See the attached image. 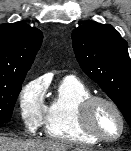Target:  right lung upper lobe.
Instances as JSON below:
<instances>
[{"label": "right lung upper lobe", "instance_id": "cb5924a9", "mask_svg": "<svg viewBox=\"0 0 131 151\" xmlns=\"http://www.w3.org/2000/svg\"><path fill=\"white\" fill-rule=\"evenodd\" d=\"M42 39L39 29L24 22L0 25V78H25Z\"/></svg>", "mask_w": 131, "mask_h": 151}]
</instances>
